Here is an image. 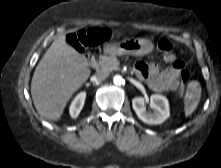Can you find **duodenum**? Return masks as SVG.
I'll use <instances>...</instances> for the list:
<instances>
[{"label": "duodenum", "mask_w": 221, "mask_h": 168, "mask_svg": "<svg viewBox=\"0 0 221 168\" xmlns=\"http://www.w3.org/2000/svg\"><path fill=\"white\" fill-rule=\"evenodd\" d=\"M84 60L85 63L89 66V67H95L96 66V58L94 57V55L92 54H86L84 56Z\"/></svg>", "instance_id": "1"}]
</instances>
